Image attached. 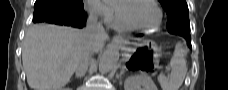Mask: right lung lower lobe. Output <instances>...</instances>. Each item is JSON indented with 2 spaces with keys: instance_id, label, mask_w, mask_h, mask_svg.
Wrapping results in <instances>:
<instances>
[{
  "instance_id": "98d812e1",
  "label": "right lung lower lobe",
  "mask_w": 228,
  "mask_h": 90,
  "mask_svg": "<svg viewBox=\"0 0 228 90\" xmlns=\"http://www.w3.org/2000/svg\"><path fill=\"white\" fill-rule=\"evenodd\" d=\"M65 0H38L34 4L33 22H47L83 28L86 24V13L82 7H70Z\"/></svg>"
}]
</instances>
